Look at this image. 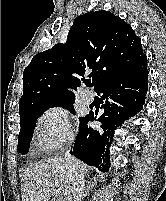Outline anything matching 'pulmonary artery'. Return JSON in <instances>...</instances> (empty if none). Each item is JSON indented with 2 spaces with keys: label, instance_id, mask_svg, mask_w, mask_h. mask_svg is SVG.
Returning a JSON list of instances; mask_svg holds the SVG:
<instances>
[{
  "label": "pulmonary artery",
  "instance_id": "e3ab8cb5",
  "mask_svg": "<svg viewBox=\"0 0 166 201\" xmlns=\"http://www.w3.org/2000/svg\"><path fill=\"white\" fill-rule=\"evenodd\" d=\"M80 98L83 102L89 104L93 101V94L88 89H82L80 92Z\"/></svg>",
  "mask_w": 166,
  "mask_h": 201
}]
</instances>
